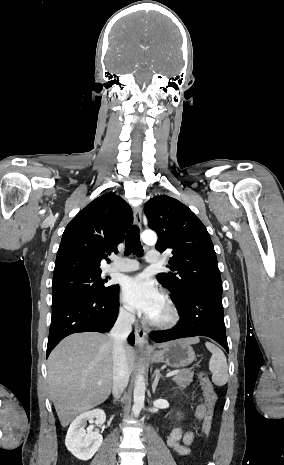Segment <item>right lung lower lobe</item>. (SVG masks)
Masks as SVG:
<instances>
[{
    "mask_svg": "<svg viewBox=\"0 0 284 465\" xmlns=\"http://www.w3.org/2000/svg\"><path fill=\"white\" fill-rule=\"evenodd\" d=\"M118 309L119 285L106 294H75L52 303L46 356L70 334L109 331L117 319ZM128 341L134 345V333L130 334Z\"/></svg>",
    "mask_w": 284,
    "mask_h": 465,
    "instance_id": "1",
    "label": "right lung lower lobe"
}]
</instances>
